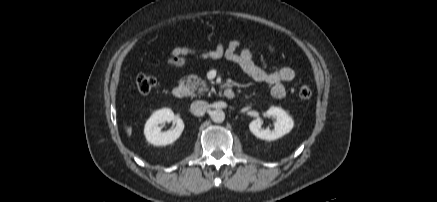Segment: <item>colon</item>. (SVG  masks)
I'll return each mask as SVG.
<instances>
[{
    "label": "colon",
    "mask_w": 437,
    "mask_h": 202,
    "mask_svg": "<svg viewBox=\"0 0 437 202\" xmlns=\"http://www.w3.org/2000/svg\"><path fill=\"white\" fill-rule=\"evenodd\" d=\"M156 86L155 77L147 74H139L136 77V87L141 94H148ZM312 96V90L309 86H301L299 89V97L303 100H308Z\"/></svg>",
    "instance_id": "obj_1"
}]
</instances>
